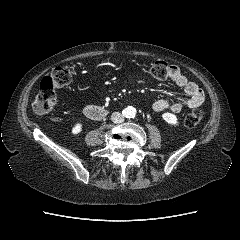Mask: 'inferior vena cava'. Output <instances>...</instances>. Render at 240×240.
<instances>
[{
  "label": "inferior vena cava",
  "mask_w": 240,
  "mask_h": 240,
  "mask_svg": "<svg viewBox=\"0 0 240 240\" xmlns=\"http://www.w3.org/2000/svg\"><path fill=\"white\" fill-rule=\"evenodd\" d=\"M111 120L114 123H122L124 121V116L119 112H114L111 115Z\"/></svg>",
  "instance_id": "inferior-vena-cava-1"
}]
</instances>
